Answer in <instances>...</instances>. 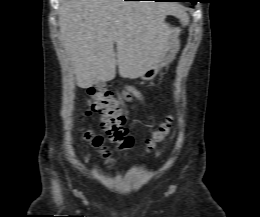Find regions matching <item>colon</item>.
<instances>
[{"instance_id": "colon-1", "label": "colon", "mask_w": 260, "mask_h": 217, "mask_svg": "<svg viewBox=\"0 0 260 217\" xmlns=\"http://www.w3.org/2000/svg\"><path fill=\"white\" fill-rule=\"evenodd\" d=\"M88 105L90 111L99 113L102 125L105 128L108 140L114 144L115 149L128 153L132 148V137L125 127V117L119 109L118 102L109 90H92L89 93ZM173 117L169 116L155 131L153 137L148 142L147 151L156 150L163 144L173 132ZM94 145L101 148L104 137L92 135ZM103 151L109 158L110 151L105 148Z\"/></svg>"}]
</instances>
